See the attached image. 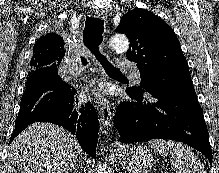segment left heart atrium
Instances as JSON below:
<instances>
[{"label":"left heart atrium","mask_w":219,"mask_h":173,"mask_svg":"<svg viewBox=\"0 0 219 173\" xmlns=\"http://www.w3.org/2000/svg\"><path fill=\"white\" fill-rule=\"evenodd\" d=\"M102 93H103V89L102 88L93 89L90 92H88L89 95H92V96H95V97L101 96Z\"/></svg>","instance_id":"left-heart-atrium-1"}]
</instances>
